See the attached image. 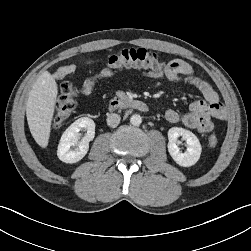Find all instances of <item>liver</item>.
I'll return each mask as SVG.
<instances>
[{
    "label": "liver",
    "instance_id": "liver-1",
    "mask_svg": "<svg viewBox=\"0 0 251 251\" xmlns=\"http://www.w3.org/2000/svg\"><path fill=\"white\" fill-rule=\"evenodd\" d=\"M58 87L50 72H43L29 92L26 116L30 132L42 148L48 146Z\"/></svg>",
    "mask_w": 251,
    "mask_h": 251
}]
</instances>
